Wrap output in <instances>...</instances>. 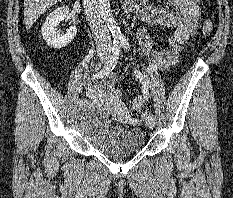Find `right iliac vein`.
<instances>
[{
  "label": "right iliac vein",
  "mask_w": 233,
  "mask_h": 198,
  "mask_svg": "<svg viewBox=\"0 0 233 198\" xmlns=\"http://www.w3.org/2000/svg\"><path fill=\"white\" fill-rule=\"evenodd\" d=\"M100 60L102 61V62H104V61H106L107 60V58H108V53H105V52H103V53H100ZM81 110V108H78L77 109V111H80Z\"/></svg>",
  "instance_id": "obj_1"
}]
</instances>
